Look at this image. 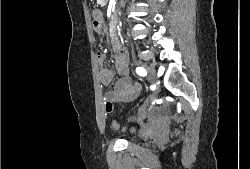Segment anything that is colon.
Masks as SVG:
<instances>
[{
  "instance_id": "obj_1",
  "label": "colon",
  "mask_w": 250,
  "mask_h": 169,
  "mask_svg": "<svg viewBox=\"0 0 250 169\" xmlns=\"http://www.w3.org/2000/svg\"><path fill=\"white\" fill-rule=\"evenodd\" d=\"M93 29L97 34H100L101 32V24L100 21L96 18L93 22ZM106 108H115V103H106ZM106 114H113V109H106ZM112 128L115 130L119 129V126L117 124H112ZM173 135H175V138H178V135H182V130H180V126H175V130H173Z\"/></svg>"
}]
</instances>
